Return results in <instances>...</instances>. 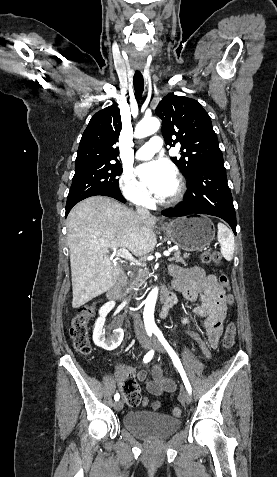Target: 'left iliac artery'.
I'll return each mask as SVG.
<instances>
[{"label":"left iliac artery","instance_id":"44dca946","mask_svg":"<svg viewBox=\"0 0 277 477\" xmlns=\"http://www.w3.org/2000/svg\"><path fill=\"white\" fill-rule=\"evenodd\" d=\"M154 334L157 336V338L159 339V341L161 342V344L164 346V348L167 350V352L169 353L175 367L178 369L182 379H183V382L185 384V387L187 389V391L189 393H191L192 389H191V385L188 381V378L185 374V371L182 367V364L177 356V354L175 353V351L172 349V347L168 344V342L166 341V339L164 338L162 332L158 329V328H155L153 330Z\"/></svg>","mask_w":277,"mask_h":477}]
</instances>
